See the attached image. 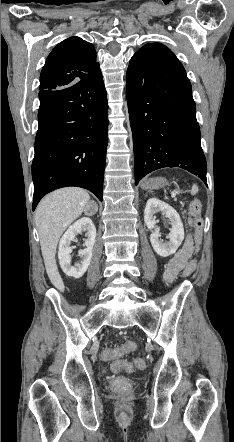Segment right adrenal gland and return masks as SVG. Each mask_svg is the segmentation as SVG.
I'll return each mask as SVG.
<instances>
[{
  "mask_svg": "<svg viewBox=\"0 0 234 442\" xmlns=\"http://www.w3.org/2000/svg\"><path fill=\"white\" fill-rule=\"evenodd\" d=\"M90 205H95L96 210H98V206L96 204H94L93 201L90 203Z\"/></svg>",
  "mask_w": 234,
  "mask_h": 442,
  "instance_id": "1",
  "label": "right adrenal gland"
}]
</instances>
